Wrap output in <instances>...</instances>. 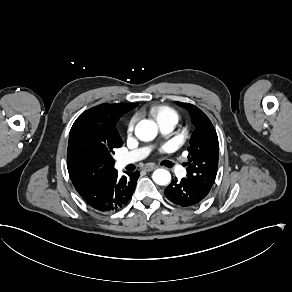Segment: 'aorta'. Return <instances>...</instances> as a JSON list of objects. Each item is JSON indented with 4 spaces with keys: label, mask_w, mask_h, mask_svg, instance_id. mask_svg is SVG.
I'll use <instances>...</instances> for the list:
<instances>
[{
    "label": "aorta",
    "mask_w": 292,
    "mask_h": 292,
    "mask_svg": "<svg viewBox=\"0 0 292 292\" xmlns=\"http://www.w3.org/2000/svg\"><path fill=\"white\" fill-rule=\"evenodd\" d=\"M158 128L155 122L141 120L135 127V135L141 141H151L157 136ZM153 181L158 185H167L171 181L169 171L156 169L152 175Z\"/></svg>",
    "instance_id": "aorta-1"
}]
</instances>
